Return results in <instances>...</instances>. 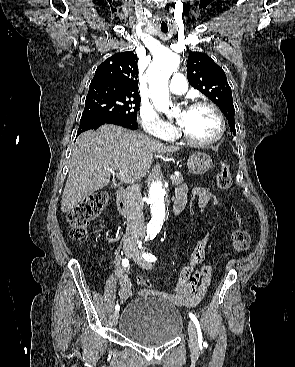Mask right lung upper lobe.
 Listing matches in <instances>:
<instances>
[{
    "mask_svg": "<svg viewBox=\"0 0 295 367\" xmlns=\"http://www.w3.org/2000/svg\"><path fill=\"white\" fill-rule=\"evenodd\" d=\"M137 61V56L132 51L109 57L97 67L89 91L139 97Z\"/></svg>",
    "mask_w": 295,
    "mask_h": 367,
    "instance_id": "right-lung-upper-lobe-1",
    "label": "right lung upper lobe"
}]
</instances>
